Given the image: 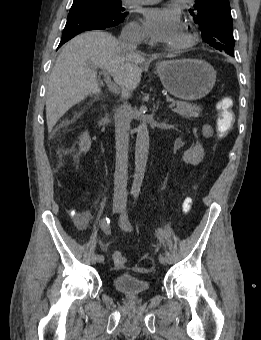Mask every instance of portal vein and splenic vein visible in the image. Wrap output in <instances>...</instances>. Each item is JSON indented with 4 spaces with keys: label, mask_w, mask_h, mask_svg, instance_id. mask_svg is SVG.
Masks as SVG:
<instances>
[{
    "label": "portal vein and splenic vein",
    "mask_w": 261,
    "mask_h": 340,
    "mask_svg": "<svg viewBox=\"0 0 261 340\" xmlns=\"http://www.w3.org/2000/svg\"><path fill=\"white\" fill-rule=\"evenodd\" d=\"M101 75L103 76L104 81H105V83H106L108 89H109L111 92H113V93H119V88H118V86H117L115 83H113V82L111 81L109 72L103 69V70L101 71ZM174 107H175V104H174V103H171V104L168 105V108H170V109H172V108H174Z\"/></svg>",
    "instance_id": "obj_1"
}]
</instances>
